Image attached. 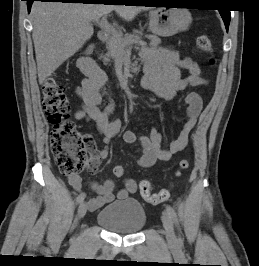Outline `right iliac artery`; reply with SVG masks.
Listing matches in <instances>:
<instances>
[{
	"label": "right iliac artery",
	"mask_w": 259,
	"mask_h": 266,
	"mask_svg": "<svg viewBox=\"0 0 259 266\" xmlns=\"http://www.w3.org/2000/svg\"><path fill=\"white\" fill-rule=\"evenodd\" d=\"M85 197H86L85 193L79 194L78 197L76 198V203L81 204L84 201Z\"/></svg>",
	"instance_id": "right-iliac-artery-1"
}]
</instances>
